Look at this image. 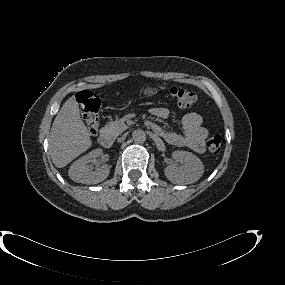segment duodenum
Returning <instances> with one entry per match:
<instances>
[{
    "mask_svg": "<svg viewBox=\"0 0 285 285\" xmlns=\"http://www.w3.org/2000/svg\"><path fill=\"white\" fill-rule=\"evenodd\" d=\"M98 140L103 147H111L112 145V139L109 132H101Z\"/></svg>",
    "mask_w": 285,
    "mask_h": 285,
    "instance_id": "obj_1",
    "label": "duodenum"
}]
</instances>
